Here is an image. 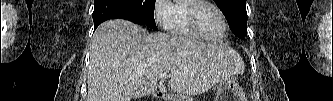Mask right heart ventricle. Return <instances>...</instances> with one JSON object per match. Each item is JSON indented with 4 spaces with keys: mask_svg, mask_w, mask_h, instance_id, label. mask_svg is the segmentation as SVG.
<instances>
[{
    "mask_svg": "<svg viewBox=\"0 0 333 101\" xmlns=\"http://www.w3.org/2000/svg\"><path fill=\"white\" fill-rule=\"evenodd\" d=\"M192 0H177L171 5V15L167 29L175 36L186 39H200L190 28L187 20V9Z\"/></svg>",
    "mask_w": 333,
    "mask_h": 101,
    "instance_id": "e07e8e85",
    "label": "right heart ventricle"
}]
</instances>
